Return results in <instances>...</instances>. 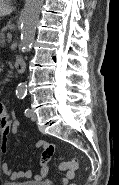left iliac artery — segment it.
I'll return each mask as SVG.
<instances>
[{
	"label": "left iliac artery",
	"mask_w": 119,
	"mask_h": 185,
	"mask_svg": "<svg viewBox=\"0 0 119 185\" xmlns=\"http://www.w3.org/2000/svg\"><path fill=\"white\" fill-rule=\"evenodd\" d=\"M25 97V95L24 96H22V97H20L21 99H23ZM25 115L26 116H28L29 117V114H30V109L29 108H27V109H25Z\"/></svg>",
	"instance_id": "obj_1"
}]
</instances>
